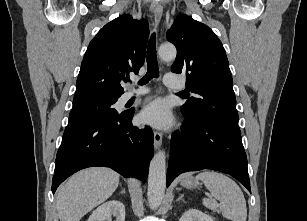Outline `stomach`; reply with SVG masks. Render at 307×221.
<instances>
[{
  "instance_id": "0dacf381",
  "label": "stomach",
  "mask_w": 307,
  "mask_h": 221,
  "mask_svg": "<svg viewBox=\"0 0 307 221\" xmlns=\"http://www.w3.org/2000/svg\"><path fill=\"white\" fill-rule=\"evenodd\" d=\"M181 185L187 189H194L200 185V182L196 177L187 175L182 178Z\"/></svg>"
}]
</instances>
